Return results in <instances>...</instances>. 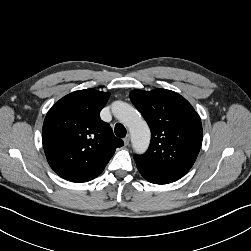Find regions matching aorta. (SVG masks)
Segmentation results:
<instances>
[{
    "label": "aorta",
    "mask_w": 251,
    "mask_h": 251,
    "mask_svg": "<svg viewBox=\"0 0 251 251\" xmlns=\"http://www.w3.org/2000/svg\"><path fill=\"white\" fill-rule=\"evenodd\" d=\"M111 109L113 115L129 128L134 150L138 153L145 152L150 142V129L139 112L122 101L114 102Z\"/></svg>",
    "instance_id": "aorta-1"
}]
</instances>
